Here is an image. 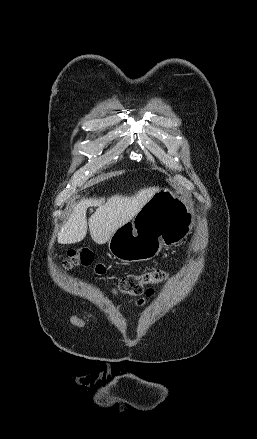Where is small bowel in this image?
Segmentation results:
<instances>
[{
	"label": "small bowel",
	"mask_w": 257,
	"mask_h": 439,
	"mask_svg": "<svg viewBox=\"0 0 257 439\" xmlns=\"http://www.w3.org/2000/svg\"><path fill=\"white\" fill-rule=\"evenodd\" d=\"M105 271H106V269L102 265L97 266V268H96V272L98 274H104ZM153 294H154V289H152V288L147 289L145 292L146 297H151ZM143 302H144V299H140L137 301V304H143Z\"/></svg>",
	"instance_id": "c3829d8e"
}]
</instances>
